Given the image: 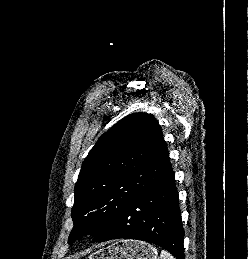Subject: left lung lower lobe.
Returning a JSON list of instances; mask_svg holds the SVG:
<instances>
[{
  "mask_svg": "<svg viewBox=\"0 0 248 259\" xmlns=\"http://www.w3.org/2000/svg\"><path fill=\"white\" fill-rule=\"evenodd\" d=\"M117 238L147 241L161 246L177 259H185L184 229L171 167L157 184L134 200L92 242Z\"/></svg>",
  "mask_w": 248,
  "mask_h": 259,
  "instance_id": "0a47b994",
  "label": "left lung lower lobe"
}]
</instances>
